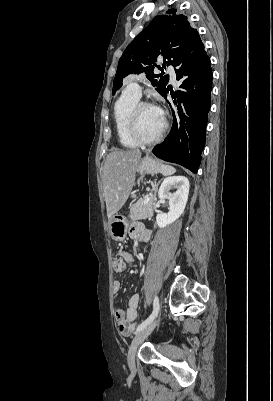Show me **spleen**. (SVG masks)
I'll return each instance as SVG.
<instances>
[{
	"mask_svg": "<svg viewBox=\"0 0 273 401\" xmlns=\"http://www.w3.org/2000/svg\"><path fill=\"white\" fill-rule=\"evenodd\" d=\"M161 172L164 176H168V174H173L176 172V168L174 166H170V164H161Z\"/></svg>",
	"mask_w": 273,
	"mask_h": 401,
	"instance_id": "3e777b00",
	"label": "spleen"
}]
</instances>
